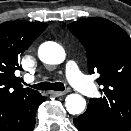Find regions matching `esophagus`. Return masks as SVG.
<instances>
[{"label":"esophagus","instance_id":"obj_1","mask_svg":"<svg viewBox=\"0 0 131 131\" xmlns=\"http://www.w3.org/2000/svg\"><path fill=\"white\" fill-rule=\"evenodd\" d=\"M67 92L66 91H52L51 94L55 97H59V96H63L65 95Z\"/></svg>","mask_w":131,"mask_h":131}]
</instances>
